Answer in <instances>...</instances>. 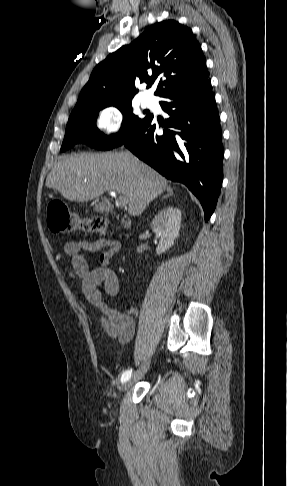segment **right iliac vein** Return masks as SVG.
<instances>
[{"label": "right iliac vein", "mask_w": 287, "mask_h": 486, "mask_svg": "<svg viewBox=\"0 0 287 486\" xmlns=\"http://www.w3.org/2000/svg\"><path fill=\"white\" fill-rule=\"evenodd\" d=\"M148 366H149V361L146 360L142 364L140 369L134 374V376L132 378H130L129 380H127L122 385V387H121L122 391L128 390L137 380H139L144 375V373L147 371Z\"/></svg>", "instance_id": "63e3f726"}]
</instances>
